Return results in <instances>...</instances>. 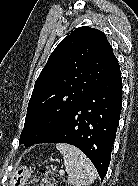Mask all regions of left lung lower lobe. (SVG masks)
<instances>
[{
    "instance_id": "left-lung-lower-lobe-1",
    "label": "left lung lower lobe",
    "mask_w": 138,
    "mask_h": 186,
    "mask_svg": "<svg viewBox=\"0 0 138 186\" xmlns=\"http://www.w3.org/2000/svg\"><path fill=\"white\" fill-rule=\"evenodd\" d=\"M122 104L119 64L98 82L67 118L39 143H68L83 151L104 179L116 137Z\"/></svg>"
}]
</instances>
